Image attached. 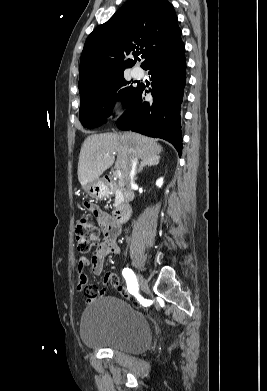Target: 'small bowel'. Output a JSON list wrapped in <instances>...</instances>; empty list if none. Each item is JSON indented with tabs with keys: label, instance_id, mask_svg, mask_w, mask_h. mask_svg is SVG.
Wrapping results in <instances>:
<instances>
[{
	"label": "small bowel",
	"instance_id": "small-bowel-1",
	"mask_svg": "<svg viewBox=\"0 0 267 391\" xmlns=\"http://www.w3.org/2000/svg\"><path fill=\"white\" fill-rule=\"evenodd\" d=\"M84 206L95 216L104 234L103 242L98 250L89 258L80 259L78 263V289L83 292L86 301L90 303L94 298L105 295L106 285L110 283V279L115 275L113 273H107L104 277L103 287L98 288L88 284L86 271L89 270L94 275H101L106 257L120 253V246L117 239L121 229L119 226H114L109 214L96 204L85 202Z\"/></svg>",
	"mask_w": 267,
	"mask_h": 391
}]
</instances>
